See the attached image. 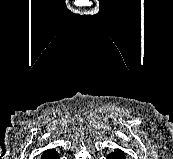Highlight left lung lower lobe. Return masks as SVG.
I'll use <instances>...</instances> for the list:
<instances>
[{
  "instance_id": "0a47b994",
  "label": "left lung lower lobe",
  "mask_w": 173,
  "mask_h": 159,
  "mask_svg": "<svg viewBox=\"0 0 173 159\" xmlns=\"http://www.w3.org/2000/svg\"><path fill=\"white\" fill-rule=\"evenodd\" d=\"M106 159H126L125 153L120 149H115Z\"/></svg>"
}]
</instances>
